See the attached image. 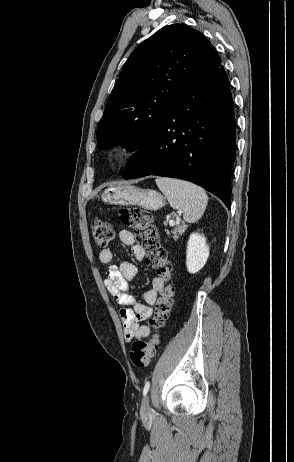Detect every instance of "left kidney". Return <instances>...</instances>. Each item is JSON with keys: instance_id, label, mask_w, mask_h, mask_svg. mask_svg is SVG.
I'll return each instance as SVG.
<instances>
[{"instance_id": "left-kidney-1", "label": "left kidney", "mask_w": 294, "mask_h": 462, "mask_svg": "<svg viewBox=\"0 0 294 462\" xmlns=\"http://www.w3.org/2000/svg\"><path fill=\"white\" fill-rule=\"evenodd\" d=\"M209 246L203 234L193 232L189 236L186 251V267L189 273L195 274L201 270L207 262Z\"/></svg>"}]
</instances>
